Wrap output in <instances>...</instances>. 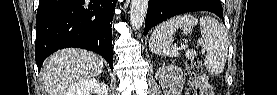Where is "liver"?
Masks as SVG:
<instances>
[{"instance_id":"6515ba94","label":"liver","mask_w":277,"mask_h":95,"mask_svg":"<svg viewBox=\"0 0 277 95\" xmlns=\"http://www.w3.org/2000/svg\"><path fill=\"white\" fill-rule=\"evenodd\" d=\"M103 61L94 53L68 48L60 50L46 60L43 82L47 95H68L75 84L98 76Z\"/></svg>"}]
</instances>
